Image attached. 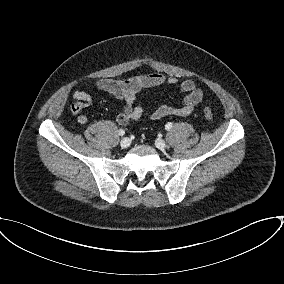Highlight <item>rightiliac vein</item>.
I'll return each instance as SVG.
<instances>
[{
    "label": "right iliac vein",
    "mask_w": 284,
    "mask_h": 284,
    "mask_svg": "<svg viewBox=\"0 0 284 284\" xmlns=\"http://www.w3.org/2000/svg\"><path fill=\"white\" fill-rule=\"evenodd\" d=\"M131 144V140L127 137L123 138L121 141H120V146L121 148H128Z\"/></svg>",
    "instance_id": "1"
}]
</instances>
